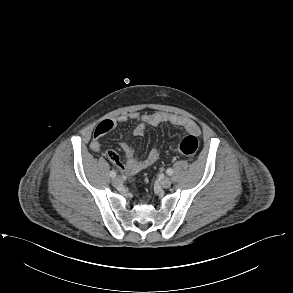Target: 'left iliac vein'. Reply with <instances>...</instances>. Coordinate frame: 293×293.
<instances>
[{
    "label": "left iliac vein",
    "mask_w": 293,
    "mask_h": 293,
    "mask_svg": "<svg viewBox=\"0 0 293 293\" xmlns=\"http://www.w3.org/2000/svg\"><path fill=\"white\" fill-rule=\"evenodd\" d=\"M160 185L162 188H169L171 186V180L168 177H164L162 178V180L160 181Z\"/></svg>",
    "instance_id": "1"
}]
</instances>
